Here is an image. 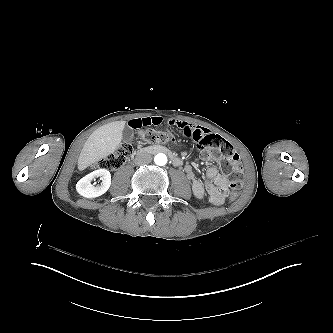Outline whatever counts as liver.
<instances>
[{
  "label": "liver",
  "mask_w": 333,
  "mask_h": 333,
  "mask_svg": "<svg viewBox=\"0 0 333 333\" xmlns=\"http://www.w3.org/2000/svg\"><path fill=\"white\" fill-rule=\"evenodd\" d=\"M125 124L126 121H115L97 128L86 140L80 152L78 169L83 171L112 154L122 141Z\"/></svg>",
  "instance_id": "1"
}]
</instances>
